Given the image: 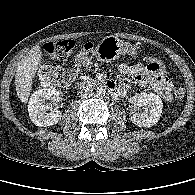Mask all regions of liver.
<instances>
[{"mask_svg": "<svg viewBox=\"0 0 195 195\" xmlns=\"http://www.w3.org/2000/svg\"><path fill=\"white\" fill-rule=\"evenodd\" d=\"M42 52L40 46H34L19 63L15 75V85L18 98L27 102L32 90L33 77L40 66Z\"/></svg>", "mask_w": 195, "mask_h": 195, "instance_id": "liver-1", "label": "liver"}]
</instances>
